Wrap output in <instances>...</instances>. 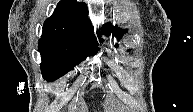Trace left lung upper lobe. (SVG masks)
Instances as JSON below:
<instances>
[{
  "mask_svg": "<svg viewBox=\"0 0 193 112\" xmlns=\"http://www.w3.org/2000/svg\"><path fill=\"white\" fill-rule=\"evenodd\" d=\"M102 34L109 36L112 33V36L117 37L118 39L121 38V36L126 33V30H122L120 28H117V26L111 25V23H105L101 28ZM102 41V40H101ZM117 46V45H116Z\"/></svg>",
  "mask_w": 193,
  "mask_h": 112,
  "instance_id": "obj_1",
  "label": "left lung upper lobe"
}]
</instances>
